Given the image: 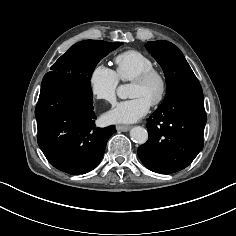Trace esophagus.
Masks as SVG:
<instances>
[{"label": "esophagus", "instance_id": "esophagus-1", "mask_svg": "<svg viewBox=\"0 0 236 236\" xmlns=\"http://www.w3.org/2000/svg\"><path fill=\"white\" fill-rule=\"evenodd\" d=\"M130 126L128 125H117L116 126V130L120 131V132H127L128 130H130Z\"/></svg>", "mask_w": 236, "mask_h": 236}]
</instances>
